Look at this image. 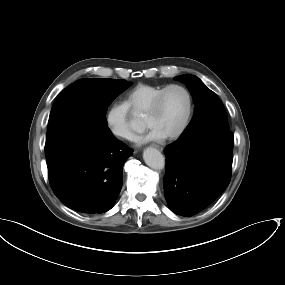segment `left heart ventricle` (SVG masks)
<instances>
[{"label":"left heart ventricle","mask_w":285,"mask_h":285,"mask_svg":"<svg viewBox=\"0 0 285 285\" xmlns=\"http://www.w3.org/2000/svg\"><path fill=\"white\" fill-rule=\"evenodd\" d=\"M186 110V94L179 88H171L163 96L157 112L144 115L142 120L145 125L164 136L173 133L179 127Z\"/></svg>","instance_id":"1"}]
</instances>
